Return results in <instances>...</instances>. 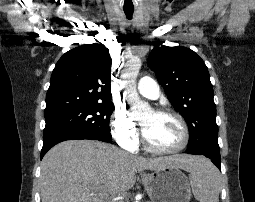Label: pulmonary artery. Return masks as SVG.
Returning a JSON list of instances; mask_svg holds the SVG:
<instances>
[{
    "instance_id": "pulmonary-artery-1",
    "label": "pulmonary artery",
    "mask_w": 255,
    "mask_h": 202,
    "mask_svg": "<svg viewBox=\"0 0 255 202\" xmlns=\"http://www.w3.org/2000/svg\"><path fill=\"white\" fill-rule=\"evenodd\" d=\"M138 92L149 99H157L160 95V90L157 82L151 77H142L137 86Z\"/></svg>"
}]
</instances>
